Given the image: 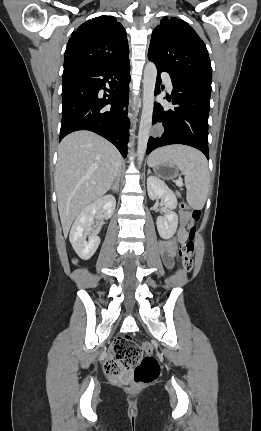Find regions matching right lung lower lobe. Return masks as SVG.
Wrapping results in <instances>:
<instances>
[{
    "instance_id": "right-lung-lower-lobe-1",
    "label": "right lung lower lobe",
    "mask_w": 261,
    "mask_h": 431,
    "mask_svg": "<svg viewBox=\"0 0 261 431\" xmlns=\"http://www.w3.org/2000/svg\"><path fill=\"white\" fill-rule=\"evenodd\" d=\"M129 82V60L116 65L65 68L59 141L71 132L89 130L112 142L126 157L130 126L127 117ZM101 89L108 94L104 92L102 97Z\"/></svg>"
}]
</instances>
